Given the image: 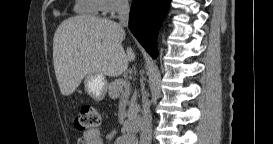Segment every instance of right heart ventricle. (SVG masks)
I'll list each match as a JSON object with an SVG mask.
<instances>
[{
  "instance_id": "1",
  "label": "right heart ventricle",
  "mask_w": 273,
  "mask_h": 144,
  "mask_svg": "<svg viewBox=\"0 0 273 144\" xmlns=\"http://www.w3.org/2000/svg\"><path fill=\"white\" fill-rule=\"evenodd\" d=\"M75 10L80 15L95 16L100 12L99 0H79L75 4Z\"/></svg>"
}]
</instances>
